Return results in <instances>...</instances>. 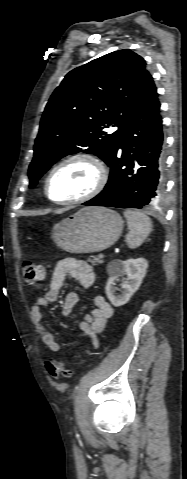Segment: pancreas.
Masks as SVG:
<instances>
[{"label":"pancreas","instance_id":"obj_1","mask_svg":"<svg viewBox=\"0 0 187 479\" xmlns=\"http://www.w3.org/2000/svg\"><path fill=\"white\" fill-rule=\"evenodd\" d=\"M89 261L93 264V265H97V264H102L104 261L102 260L101 257L99 256H92Z\"/></svg>","mask_w":187,"mask_h":479}]
</instances>
